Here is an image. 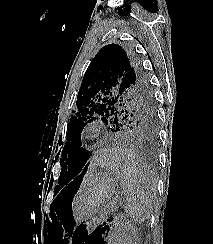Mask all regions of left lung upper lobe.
<instances>
[{
  "instance_id": "5c2ea615",
  "label": "left lung upper lobe",
  "mask_w": 213,
  "mask_h": 244,
  "mask_svg": "<svg viewBox=\"0 0 213 244\" xmlns=\"http://www.w3.org/2000/svg\"><path fill=\"white\" fill-rule=\"evenodd\" d=\"M77 111L68 123L61 155L59 187L69 183L76 171L81 132L94 114L112 132H126L138 139L153 140L157 133L154 95L139 60L117 44L102 47L92 59L77 95ZM119 127L117 130H114Z\"/></svg>"
}]
</instances>
